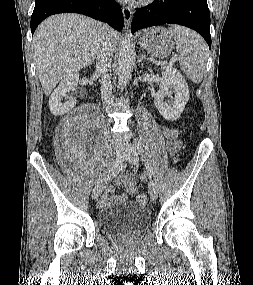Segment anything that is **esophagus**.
<instances>
[{"mask_svg":"<svg viewBox=\"0 0 253 285\" xmlns=\"http://www.w3.org/2000/svg\"><path fill=\"white\" fill-rule=\"evenodd\" d=\"M122 12H123L125 26L129 28L133 17V12L129 7H123Z\"/></svg>","mask_w":253,"mask_h":285,"instance_id":"34e87169","label":"esophagus"}]
</instances>
